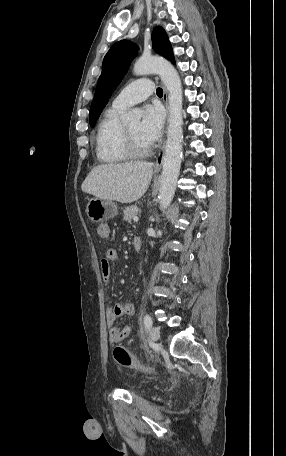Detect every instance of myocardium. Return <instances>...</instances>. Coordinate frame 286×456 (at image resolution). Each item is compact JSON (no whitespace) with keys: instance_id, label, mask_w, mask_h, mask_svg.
<instances>
[{"instance_id":"f54148a6","label":"myocardium","mask_w":286,"mask_h":456,"mask_svg":"<svg viewBox=\"0 0 286 456\" xmlns=\"http://www.w3.org/2000/svg\"><path fill=\"white\" fill-rule=\"evenodd\" d=\"M123 144L129 158H143L152 151V145L147 148L139 149L126 126H123Z\"/></svg>"}]
</instances>
